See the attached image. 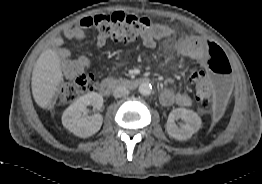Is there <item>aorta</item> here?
Listing matches in <instances>:
<instances>
[{"mask_svg": "<svg viewBox=\"0 0 262 184\" xmlns=\"http://www.w3.org/2000/svg\"><path fill=\"white\" fill-rule=\"evenodd\" d=\"M138 91L142 95H149L152 91V86H151V84L146 83V82L141 83L139 85Z\"/></svg>", "mask_w": 262, "mask_h": 184, "instance_id": "obj_1", "label": "aorta"}]
</instances>
